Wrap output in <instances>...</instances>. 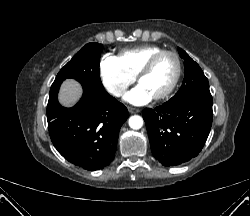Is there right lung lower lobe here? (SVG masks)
<instances>
[{
	"mask_svg": "<svg viewBox=\"0 0 250 216\" xmlns=\"http://www.w3.org/2000/svg\"><path fill=\"white\" fill-rule=\"evenodd\" d=\"M129 114L127 108L104 90L83 87L81 100L62 107L57 94L47 105L49 134L57 151L68 161L94 171L114 158L119 130Z\"/></svg>",
	"mask_w": 250,
	"mask_h": 216,
	"instance_id": "98d812e1",
	"label": "right lung lower lobe"
}]
</instances>
